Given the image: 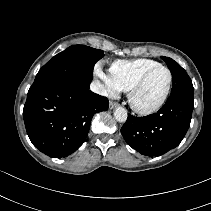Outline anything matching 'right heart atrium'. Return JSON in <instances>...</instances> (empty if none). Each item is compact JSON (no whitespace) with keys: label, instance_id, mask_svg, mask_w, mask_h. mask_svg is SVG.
<instances>
[{"label":"right heart atrium","instance_id":"right-heart-atrium-1","mask_svg":"<svg viewBox=\"0 0 211 211\" xmlns=\"http://www.w3.org/2000/svg\"><path fill=\"white\" fill-rule=\"evenodd\" d=\"M96 75L102 80L104 85V92L108 96H116L120 92L118 87L113 82L111 76L109 74H106L100 67H97L95 69Z\"/></svg>","mask_w":211,"mask_h":211}]
</instances>
